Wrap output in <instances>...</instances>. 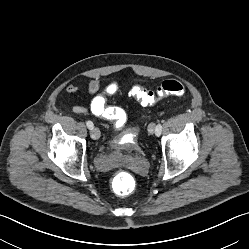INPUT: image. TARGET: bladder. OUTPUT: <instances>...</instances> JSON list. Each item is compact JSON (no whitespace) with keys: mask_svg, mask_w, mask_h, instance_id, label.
Wrapping results in <instances>:
<instances>
[{"mask_svg":"<svg viewBox=\"0 0 249 249\" xmlns=\"http://www.w3.org/2000/svg\"><path fill=\"white\" fill-rule=\"evenodd\" d=\"M112 154L104 159H98L96 167L100 171H107L114 167L119 159L128 155H134L141 152L142 147L137 138L126 129L121 136L109 140Z\"/></svg>","mask_w":249,"mask_h":249,"instance_id":"1","label":"bladder"}]
</instances>
